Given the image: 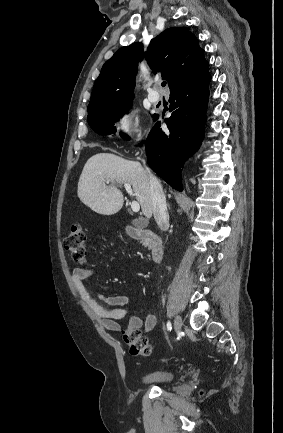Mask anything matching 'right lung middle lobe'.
I'll return each mask as SVG.
<instances>
[{
  "mask_svg": "<svg viewBox=\"0 0 283 433\" xmlns=\"http://www.w3.org/2000/svg\"><path fill=\"white\" fill-rule=\"evenodd\" d=\"M131 103L106 107L88 114L87 120L90 127L99 134L115 133V121H118L128 110ZM122 137H125L121 134ZM128 140V137H125Z\"/></svg>",
  "mask_w": 283,
  "mask_h": 433,
  "instance_id": "right-lung-middle-lobe-1",
  "label": "right lung middle lobe"
}]
</instances>
